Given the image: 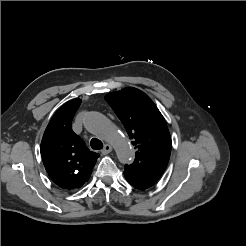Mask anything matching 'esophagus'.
I'll return each mask as SVG.
<instances>
[{
    "instance_id": "esophagus-1",
    "label": "esophagus",
    "mask_w": 246,
    "mask_h": 246,
    "mask_svg": "<svg viewBox=\"0 0 246 246\" xmlns=\"http://www.w3.org/2000/svg\"><path fill=\"white\" fill-rule=\"evenodd\" d=\"M111 151H112V146L109 144H105L101 152L102 154L106 155L109 154Z\"/></svg>"
}]
</instances>
